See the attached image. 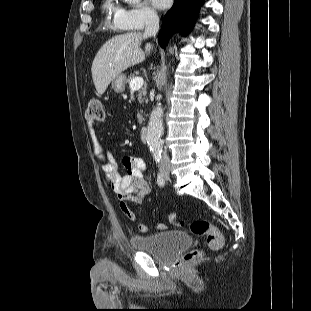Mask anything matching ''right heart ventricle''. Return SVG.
<instances>
[{
  "instance_id": "1",
  "label": "right heart ventricle",
  "mask_w": 311,
  "mask_h": 311,
  "mask_svg": "<svg viewBox=\"0 0 311 311\" xmlns=\"http://www.w3.org/2000/svg\"><path fill=\"white\" fill-rule=\"evenodd\" d=\"M102 9L108 26L114 30H126L122 20L124 9L115 0H104Z\"/></svg>"
}]
</instances>
